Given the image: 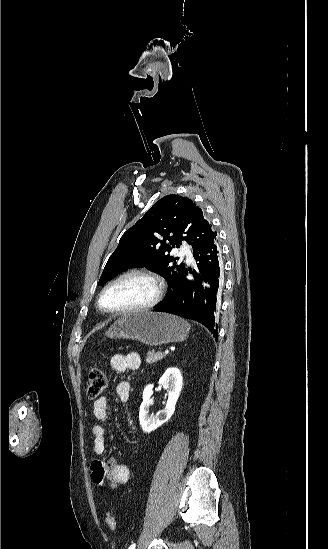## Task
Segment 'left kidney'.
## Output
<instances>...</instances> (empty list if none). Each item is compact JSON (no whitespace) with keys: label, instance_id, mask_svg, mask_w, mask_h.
Instances as JSON below:
<instances>
[{"label":"left kidney","instance_id":"obj_1","mask_svg":"<svg viewBox=\"0 0 328 549\" xmlns=\"http://www.w3.org/2000/svg\"><path fill=\"white\" fill-rule=\"evenodd\" d=\"M159 385H162L163 389H166L168 401L165 409L158 411L156 415H149V407L151 405L150 399L151 395H153L154 385H147L143 391V403L140 405L139 421L144 433L155 431L157 427H161L163 423H166V421H169L170 417H172L183 385L182 375L179 369H177V367H169V369H166L159 381Z\"/></svg>","mask_w":328,"mask_h":549}]
</instances>
